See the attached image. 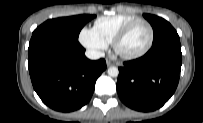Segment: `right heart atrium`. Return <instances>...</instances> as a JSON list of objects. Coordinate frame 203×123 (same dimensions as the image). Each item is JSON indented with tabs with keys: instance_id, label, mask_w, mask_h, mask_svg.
Here are the masks:
<instances>
[{
	"instance_id": "obj_1",
	"label": "right heart atrium",
	"mask_w": 203,
	"mask_h": 123,
	"mask_svg": "<svg viewBox=\"0 0 203 123\" xmlns=\"http://www.w3.org/2000/svg\"><path fill=\"white\" fill-rule=\"evenodd\" d=\"M79 41L84 47L97 54L107 48V44L91 28L84 27L81 29Z\"/></svg>"
}]
</instances>
